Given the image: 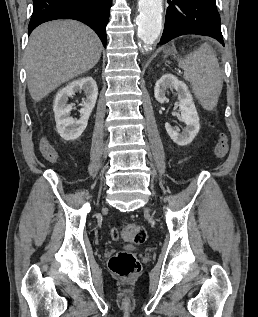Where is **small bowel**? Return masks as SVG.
I'll use <instances>...</instances> for the list:
<instances>
[{
	"label": "small bowel",
	"instance_id": "1",
	"mask_svg": "<svg viewBox=\"0 0 258 317\" xmlns=\"http://www.w3.org/2000/svg\"><path fill=\"white\" fill-rule=\"evenodd\" d=\"M39 149L40 152L42 153L43 157L45 158L46 154H57V152L55 151L53 145L51 144V142L46 139V138H42L39 142Z\"/></svg>",
	"mask_w": 258,
	"mask_h": 317
}]
</instances>
